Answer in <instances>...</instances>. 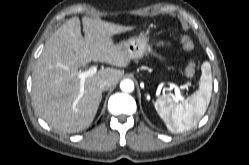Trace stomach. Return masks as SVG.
<instances>
[{
  "label": "stomach",
  "mask_w": 249,
  "mask_h": 165,
  "mask_svg": "<svg viewBox=\"0 0 249 165\" xmlns=\"http://www.w3.org/2000/svg\"><path fill=\"white\" fill-rule=\"evenodd\" d=\"M119 46L133 58L143 57L147 52L151 51V44L149 43V30L141 32L139 36L121 42Z\"/></svg>",
  "instance_id": "obj_1"
}]
</instances>
